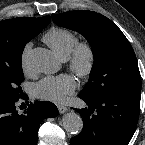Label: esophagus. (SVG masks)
<instances>
[{
	"label": "esophagus",
	"mask_w": 145,
	"mask_h": 145,
	"mask_svg": "<svg viewBox=\"0 0 145 145\" xmlns=\"http://www.w3.org/2000/svg\"><path fill=\"white\" fill-rule=\"evenodd\" d=\"M57 108L61 114L65 113L67 111V108L62 105H58Z\"/></svg>",
	"instance_id": "esophagus-1"
}]
</instances>
